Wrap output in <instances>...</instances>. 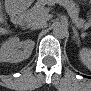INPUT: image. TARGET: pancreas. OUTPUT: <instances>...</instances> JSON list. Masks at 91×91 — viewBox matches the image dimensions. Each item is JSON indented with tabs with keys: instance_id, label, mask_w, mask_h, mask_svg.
I'll use <instances>...</instances> for the list:
<instances>
[{
	"instance_id": "pancreas-1",
	"label": "pancreas",
	"mask_w": 91,
	"mask_h": 91,
	"mask_svg": "<svg viewBox=\"0 0 91 91\" xmlns=\"http://www.w3.org/2000/svg\"><path fill=\"white\" fill-rule=\"evenodd\" d=\"M60 3L67 9L70 17L73 19V21L75 22L76 25H77V23H79L80 28L83 27L85 29L89 27V24H84V21L82 19L78 18V7L76 6V4L74 2L60 1ZM46 4L53 5L54 1H51V2L38 1V2H36L34 7H32L27 12L28 19H30L32 21L42 20L48 12V9L45 8Z\"/></svg>"
}]
</instances>
